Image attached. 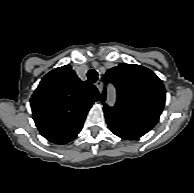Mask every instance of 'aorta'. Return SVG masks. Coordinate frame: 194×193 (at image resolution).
<instances>
[{"instance_id":"obj_1","label":"aorta","mask_w":194,"mask_h":193,"mask_svg":"<svg viewBox=\"0 0 194 193\" xmlns=\"http://www.w3.org/2000/svg\"><path fill=\"white\" fill-rule=\"evenodd\" d=\"M112 99V101L114 100V96L111 98Z\"/></svg>"}]
</instances>
